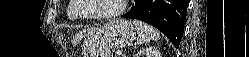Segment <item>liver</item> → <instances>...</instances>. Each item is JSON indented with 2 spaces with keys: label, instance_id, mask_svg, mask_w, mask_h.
I'll return each mask as SVG.
<instances>
[{
  "label": "liver",
  "instance_id": "liver-1",
  "mask_svg": "<svg viewBox=\"0 0 249 57\" xmlns=\"http://www.w3.org/2000/svg\"><path fill=\"white\" fill-rule=\"evenodd\" d=\"M95 31V29H88V30H84L81 32V35H87L88 34H91Z\"/></svg>",
  "mask_w": 249,
  "mask_h": 57
}]
</instances>
